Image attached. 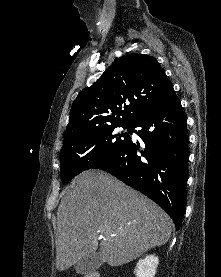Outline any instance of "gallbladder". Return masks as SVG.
Instances as JSON below:
<instances>
[{
	"label": "gallbladder",
	"mask_w": 221,
	"mask_h": 277,
	"mask_svg": "<svg viewBox=\"0 0 221 277\" xmlns=\"http://www.w3.org/2000/svg\"><path fill=\"white\" fill-rule=\"evenodd\" d=\"M102 263L100 253L93 252L82 257L75 265V270L78 274H88L98 269Z\"/></svg>",
	"instance_id": "gallbladder-1"
}]
</instances>
